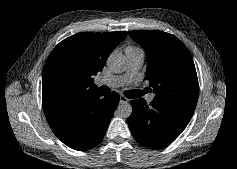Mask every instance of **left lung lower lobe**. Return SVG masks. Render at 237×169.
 <instances>
[{
	"label": "left lung lower lobe",
	"mask_w": 237,
	"mask_h": 169,
	"mask_svg": "<svg viewBox=\"0 0 237 169\" xmlns=\"http://www.w3.org/2000/svg\"><path fill=\"white\" fill-rule=\"evenodd\" d=\"M128 125L135 140L151 149L171 144L189 123L194 109L153 100L150 106L144 99L132 100Z\"/></svg>",
	"instance_id": "obj_1"
}]
</instances>
